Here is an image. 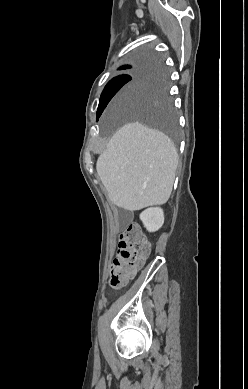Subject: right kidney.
<instances>
[{"mask_svg":"<svg viewBox=\"0 0 248 389\" xmlns=\"http://www.w3.org/2000/svg\"><path fill=\"white\" fill-rule=\"evenodd\" d=\"M144 227L149 232L159 230L164 223V213L161 208H148L140 214Z\"/></svg>","mask_w":248,"mask_h":389,"instance_id":"ca27d5eb","label":"right kidney"}]
</instances>
